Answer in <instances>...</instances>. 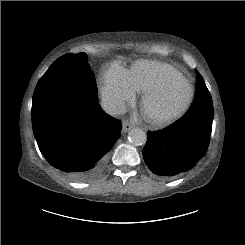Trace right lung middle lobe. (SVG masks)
Masks as SVG:
<instances>
[{"label":"right lung middle lobe","instance_id":"dd1d6c3e","mask_svg":"<svg viewBox=\"0 0 245 245\" xmlns=\"http://www.w3.org/2000/svg\"><path fill=\"white\" fill-rule=\"evenodd\" d=\"M95 99L93 74L87 67L86 56L64 55L55 61L41 78L33 95L32 113L36 116L65 103Z\"/></svg>","mask_w":245,"mask_h":245}]
</instances>
